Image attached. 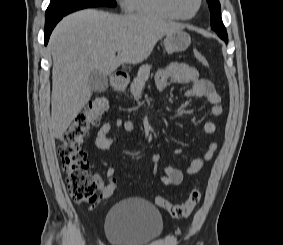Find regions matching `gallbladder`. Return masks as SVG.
Segmentation results:
<instances>
[{
	"instance_id": "1",
	"label": "gallbladder",
	"mask_w": 283,
	"mask_h": 245,
	"mask_svg": "<svg viewBox=\"0 0 283 245\" xmlns=\"http://www.w3.org/2000/svg\"><path fill=\"white\" fill-rule=\"evenodd\" d=\"M88 84L92 91L103 92L108 87V80L106 75H104L100 71L94 70L91 72L88 78Z\"/></svg>"
}]
</instances>
